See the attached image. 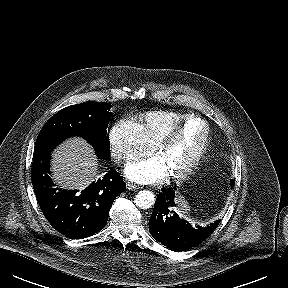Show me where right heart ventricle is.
I'll return each instance as SVG.
<instances>
[{
	"mask_svg": "<svg viewBox=\"0 0 288 288\" xmlns=\"http://www.w3.org/2000/svg\"><path fill=\"white\" fill-rule=\"evenodd\" d=\"M190 115L173 110L149 111L139 116V126L146 141L153 147L172 125Z\"/></svg>",
	"mask_w": 288,
	"mask_h": 288,
	"instance_id": "e07e8e85",
	"label": "right heart ventricle"
}]
</instances>
